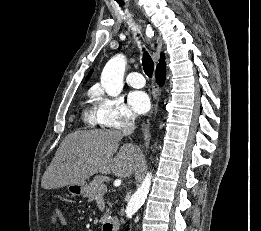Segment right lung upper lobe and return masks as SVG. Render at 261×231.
Instances as JSON below:
<instances>
[{
  "label": "right lung upper lobe",
  "instance_id": "obj_1",
  "mask_svg": "<svg viewBox=\"0 0 261 231\" xmlns=\"http://www.w3.org/2000/svg\"><path fill=\"white\" fill-rule=\"evenodd\" d=\"M163 65H165V62H164V54H161V60L159 62V64L157 65V68H160L162 67ZM92 71H90L89 73V76L91 75ZM89 77L86 78V80H88Z\"/></svg>",
  "mask_w": 261,
  "mask_h": 231
}]
</instances>
